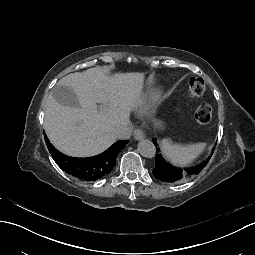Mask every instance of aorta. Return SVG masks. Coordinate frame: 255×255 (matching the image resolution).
Listing matches in <instances>:
<instances>
[{"instance_id": "1", "label": "aorta", "mask_w": 255, "mask_h": 255, "mask_svg": "<svg viewBox=\"0 0 255 255\" xmlns=\"http://www.w3.org/2000/svg\"><path fill=\"white\" fill-rule=\"evenodd\" d=\"M139 153L146 158H153L156 154V148L152 141L150 140H141L138 143Z\"/></svg>"}]
</instances>
